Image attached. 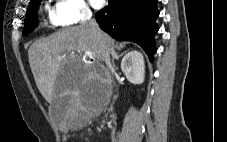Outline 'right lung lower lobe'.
I'll return each instance as SVG.
<instances>
[{
	"label": "right lung lower lobe",
	"mask_w": 227,
	"mask_h": 142,
	"mask_svg": "<svg viewBox=\"0 0 227 142\" xmlns=\"http://www.w3.org/2000/svg\"><path fill=\"white\" fill-rule=\"evenodd\" d=\"M109 5L96 13L100 28L116 40L133 41L148 54L156 52L154 35L159 27L157 0H109Z\"/></svg>",
	"instance_id": "right-lung-lower-lobe-1"
}]
</instances>
